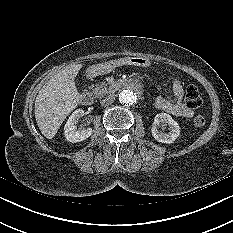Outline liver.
Listing matches in <instances>:
<instances>
[{
  "mask_svg": "<svg viewBox=\"0 0 233 233\" xmlns=\"http://www.w3.org/2000/svg\"><path fill=\"white\" fill-rule=\"evenodd\" d=\"M82 64H72L54 75L35 100V118L41 133L52 139L65 118L76 108L80 95L74 79Z\"/></svg>",
  "mask_w": 233,
  "mask_h": 233,
  "instance_id": "6515ba94",
  "label": "liver"
}]
</instances>
